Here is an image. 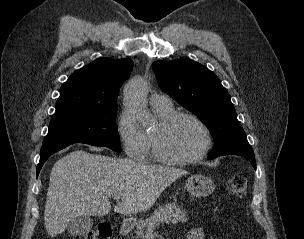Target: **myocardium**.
<instances>
[{
  "label": "myocardium",
  "mask_w": 304,
  "mask_h": 239,
  "mask_svg": "<svg viewBox=\"0 0 304 239\" xmlns=\"http://www.w3.org/2000/svg\"><path fill=\"white\" fill-rule=\"evenodd\" d=\"M188 118L193 120L202 130L204 135V145L201 150L189 157L178 158L167 155L162 147V140L168 130L180 119ZM212 147V136L209 127L196 114L187 111H175L163 119L157 126L153 137V154L154 157L165 164L170 165H187L203 159Z\"/></svg>",
  "instance_id": "f54148a6"
}]
</instances>
